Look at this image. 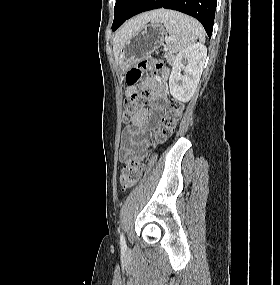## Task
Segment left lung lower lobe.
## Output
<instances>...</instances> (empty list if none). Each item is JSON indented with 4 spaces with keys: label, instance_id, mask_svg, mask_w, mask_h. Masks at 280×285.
<instances>
[{
    "label": "left lung lower lobe",
    "instance_id": "0a47b994",
    "mask_svg": "<svg viewBox=\"0 0 280 285\" xmlns=\"http://www.w3.org/2000/svg\"><path fill=\"white\" fill-rule=\"evenodd\" d=\"M158 8L177 10L196 18L202 23L208 36L211 37L216 0H139L129 18Z\"/></svg>",
    "mask_w": 280,
    "mask_h": 285
}]
</instances>
